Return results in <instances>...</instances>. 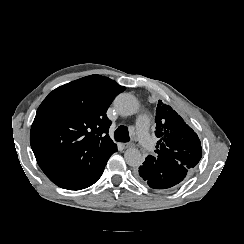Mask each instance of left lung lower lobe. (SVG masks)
<instances>
[{"instance_id": "0a47b994", "label": "left lung lower lobe", "mask_w": 244, "mask_h": 244, "mask_svg": "<svg viewBox=\"0 0 244 244\" xmlns=\"http://www.w3.org/2000/svg\"><path fill=\"white\" fill-rule=\"evenodd\" d=\"M188 170L171 158L149 155L139 167L136 177L139 182L147 183L151 188L166 189L180 183Z\"/></svg>"}]
</instances>
